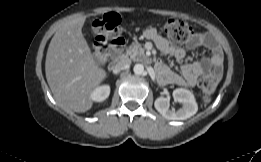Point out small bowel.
<instances>
[{
    "label": "small bowel",
    "mask_w": 261,
    "mask_h": 162,
    "mask_svg": "<svg viewBox=\"0 0 261 162\" xmlns=\"http://www.w3.org/2000/svg\"><path fill=\"white\" fill-rule=\"evenodd\" d=\"M146 37L152 40L164 54L173 55L178 60L185 57L186 52L183 48H176L170 45L157 30L149 29L146 32ZM201 46L207 47L211 51V55L202 61L182 65L181 75L168 69L160 60L156 62L158 72L165 76L170 83L188 87H194L201 75H210L220 78L223 63L221 48L211 35L197 34L190 41L189 48L195 49Z\"/></svg>",
    "instance_id": "small-bowel-1"
}]
</instances>
